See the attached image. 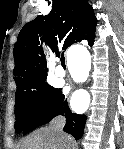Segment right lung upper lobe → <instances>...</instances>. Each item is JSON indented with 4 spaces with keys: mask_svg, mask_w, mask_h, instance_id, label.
Returning a JSON list of instances; mask_svg holds the SVG:
<instances>
[{
    "mask_svg": "<svg viewBox=\"0 0 124 149\" xmlns=\"http://www.w3.org/2000/svg\"><path fill=\"white\" fill-rule=\"evenodd\" d=\"M96 22L87 0H53L50 13L28 22L14 44L13 74L17 88L35 85L47 78V64L40 40L57 55L59 49L66 50L81 40H87L92 46Z\"/></svg>",
    "mask_w": 124,
    "mask_h": 149,
    "instance_id": "cb5924a9",
    "label": "right lung upper lobe"
}]
</instances>
